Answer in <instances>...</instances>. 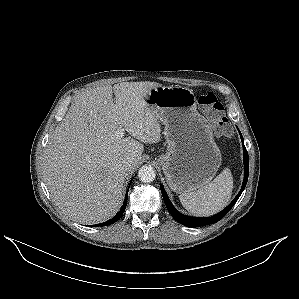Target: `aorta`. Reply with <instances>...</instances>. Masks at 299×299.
Listing matches in <instances>:
<instances>
[{"instance_id": "1", "label": "aorta", "mask_w": 299, "mask_h": 299, "mask_svg": "<svg viewBox=\"0 0 299 299\" xmlns=\"http://www.w3.org/2000/svg\"><path fill=\"white\" fill-rule=\"evenodd\" d=\"M138 177L141 182L150 183L154 181L156 173L151 165H143L139 169Z\"/></svg>"}]
</instances>
